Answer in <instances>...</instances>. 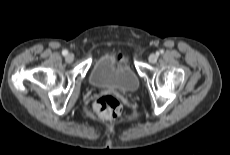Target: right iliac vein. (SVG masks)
Instances as JSON below:
<instances>
[{"label":"right iliac vein","mask_w":230,"mask_h":155,"mask_svg":"<svg viewBox=\"0 0 230 155\" xmlns=\"http://www.w3.org/2000/svg\"><path fill=\"white\" fill-rule=\"evenodd\" d=\"M65 59L68 63H71L74 60V56L73 54H68Z\"/></svg>","instance_id":"obj_1"}]
</instances>
